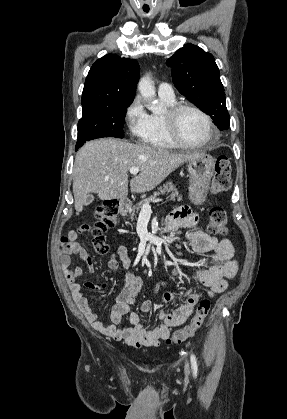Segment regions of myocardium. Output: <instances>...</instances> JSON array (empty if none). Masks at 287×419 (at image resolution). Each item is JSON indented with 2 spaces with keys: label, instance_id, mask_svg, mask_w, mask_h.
<instances>
[{
  "label": "myocardium",
  "instance_id": "myocardium-1",
  "mask_svg": "<svg viewBox=\"0 0 287 419\" xmlns=\"http://www.w3.org/2000/svg\"><path fill=\"white\" fill-rule=\"evenodd\" d=\"M184 110H193L204 118L210 131L209 137L205 141L194 144L185 141L180 136L177 128V119L179 114ZM163 122L168 136L181 147L203 148L214 143L218 139V131L212 118L202 108L191 103H177L170 106L167 112L163 115Z\"/></svg>",
  "mask_w": 287,
  "mask_h": 419
}]
</instances>
